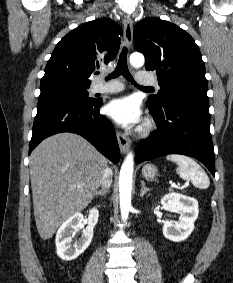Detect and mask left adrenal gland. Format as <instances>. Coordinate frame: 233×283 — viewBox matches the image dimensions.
I'll return each instance as SVG.
<instances>
[{
	"mask_svg": "<svg viewBox=\"0 0 233 283\" xmlns=\"http://www.w3.org/2000/svg\"><path fill=\"white\" fill-rule=\"evenodd\" d=\"M141 185H142V189L140 191V196L143 197L148 191H150V189L146 187L144 181H141Z\"/></svg>",
	"mask_w": 233,
	"mask_h": 283,
	"instance_id": "obj_1",
	"label": "left adrenal gland"
}]
</instances>
